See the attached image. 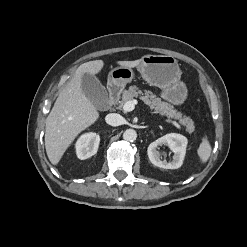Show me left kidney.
I'll use <instances>...</instances> for the list:
<instances>
[{
    "label": "left kidney",
    "mask_w": 247,
    "mask_h": 247,
    "mask_svg": "<svg viewBox=\"0 0 247 247\" xmlns=\"http://www.w3.org/2000/svg\"><path fill=\"white\" fill-rule=\"evenodd\" d=\"M187 138L183 135L170 133L158 138L152 142L147 150L151 163L163 169H177L183 164L186 153ZM166 145L174 153L171 162L160 160V152L157 150L159 146Z\"/></svg>",
    "instance_id": "5707ae66"
}]
</instances>
